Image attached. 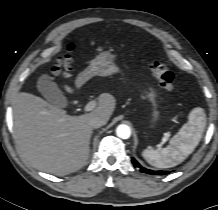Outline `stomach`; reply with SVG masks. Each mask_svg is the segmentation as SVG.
Wrapping results in <instances>:
<instances>
[{"label": "stomach", "mask_w": 218, "mask_h": 210, "mask_svg": "<svg viewBox=\"0 0 218 210\" xmlns=\"http://www.w3.org/2000/svg\"><path fill=\"white\" fill-rule=\"evenodd\" d=\"M117 56L109 51L101 52L91 61L90 66L82 72L76 80V84L80 86L92 76H108L119 71L115 61ZM148 97L153 103L150 128H154L159 119V111L156 103V94L154 91L148 93Z\"/></svg>", "instance_id": "1"}]
</instances>
